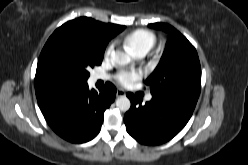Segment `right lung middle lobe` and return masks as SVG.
Wrapping results in <instances>:
<instances>
[{
    "label": "right lung middle lobe",
    "instance_id": "right-lung-middle-lobe-1",
    "mask_svg": "<svg viewBox=\"0 0 248 165\" xmlns=\"http://www.w3.org/2000/svg\"><path fill=\"white\" fill-rule=\"evenodd\" d=\"M104 50L69 31L57 29L46 42L37 67L42 73L68 86H86L89 68L100 65Z\"/></svg>",
    "mask_w": 248,
    "mask_h": 165
}]
</instances>
